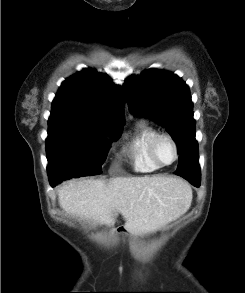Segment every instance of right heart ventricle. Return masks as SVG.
<instances>
[{
  "mask_svg": "<svg viewBox=\"0 0 245 293\" xmlns=\"http://www.w3.org/2000/svg\"><path fill=\"white\" fill-rule=\"evenodd\" d=\"M158 130L146 122H139L128 144V155L132 168L136 172L150 173L160 168L150 155V145Z\"/></svg>",
  "mask_w": 245,
  "mask_h": 293,
  "instance_id": "obj_1",
  "label": "right heart ventricle"
}]
</instances>
